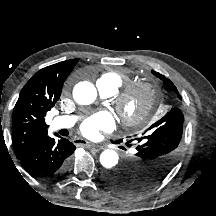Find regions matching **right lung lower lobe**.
I'll use <instances>...</instances> for the list:
<instances>
[{
    "instance_id": "obj_1",
    "label": "right lung lower lobe",
    "mask_w": 216,
    "mask_h": 216,
    "mask_svg": "<svg viewBox=\"0 0 216 216\" xmlns=\"http://www.w3.org/2000/svg\"><path fill=\"white\" fill-rule=\"evenodd\" d=\"M75 149L76 147L65 138L54 139L46 136L19 160L28 173L47 179L60 173L66 159Z\"/></svg>"
}]
</instances>
